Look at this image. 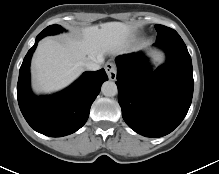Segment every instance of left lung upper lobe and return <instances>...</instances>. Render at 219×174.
Masks as SVG:
<instances>
[{"instance_id":"1","label":"left lung upper lobe","mask_w":219,"mask_h":174,"mask_svg":"<svg viewBox=\"0 0 219 174\" xmlns=\"http://www.w3.org/2000/svg\"><path fill=\"white\" fill-rule=\"evenodd\" d=\"M155 28L158 33L157 38H156L157 42L165 40V39H181L179 34L175 30L169 27H166L164 25H156Z\"/></svg>"}]
</instances>
